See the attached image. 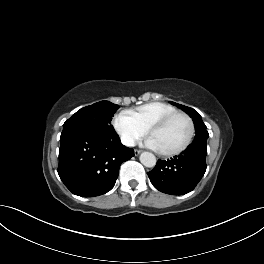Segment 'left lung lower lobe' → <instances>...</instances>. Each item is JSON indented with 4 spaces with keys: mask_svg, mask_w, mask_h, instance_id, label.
<instances>
[{
    "mask_svg": "<svg viewBox=\"0 0 264 264\" xmlns=\"http://www.w3.org/2000/svg\"><path fill=\"white\" fill-rule=\"evenodd\" d=\"M207 144H190L179 156L159 160L148 172L153 186L166 194L183 195L197 185L206 171Z\"/></svg>",
    "mask_w": 264,
    "mask_h": 264,
    "instance_id": "0a47b994",
    "label": "left lung lower lobe"
}]
</instances>
